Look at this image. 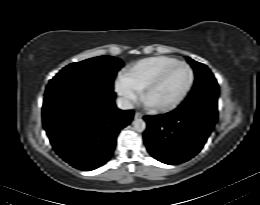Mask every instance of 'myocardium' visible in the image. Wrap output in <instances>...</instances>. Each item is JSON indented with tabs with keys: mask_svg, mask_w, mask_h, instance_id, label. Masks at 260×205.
Here are the masks:
<instances>
[{
	"mask_svg": "<svg viewBox=\"0 0 260 205\" xmlns=\"http://www.w3.org/2000/svg\"><path fill=\"white\" fill-rule=\"evenodd\" d=\"M178 65H182L185 66L190 73V80L189 83L187 85V87L185 88V90L183 91V93L173 102L169 103V104H165V105H151L156 111L159 112H167V111H171L176 109L180 104L183 103V101L187 98V96L189 95L190 91L192 90V87L194 85L195 82V72L193 70V68L186 63L185 61H176L174 63H171L169 65H167L166 67L162 68L147 84L146 86L143 88V93H142V99L147 102V95L148 93L162 80V78L165 76V74L172 69L175 66ZM149 104V103H148Z\"/></svg>",
	"mask_w": 260,
	"mask_h": 205,
	"instance_id": "f54148a6",
	"label": "myocardium"
}]
</instances>
